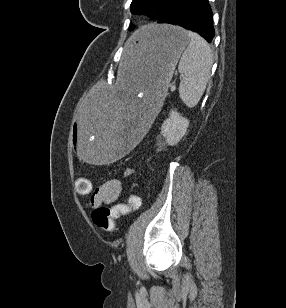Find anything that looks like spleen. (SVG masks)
Returning a JSON list of instances; mask_svg holds the SVG:
<instances>
[{
  "mask_svg": "<svg viewBox=\"0 0 286 308\" xmlns=\"http://www.w3.org/2000/svg\"><path fill=\"white\" fill-rule=\"evenodd\" d=\"M190 43L184 51L178 70L182 76L179 97L189 107L201 99L210 77L213 55L208 43L197 33L187 31Z\"/></svg>",
  "mask_w": 286,
  "mask_h": 308,
  "instance_id": "obj_1",
  "label": "spleen"
}]
</instances>
